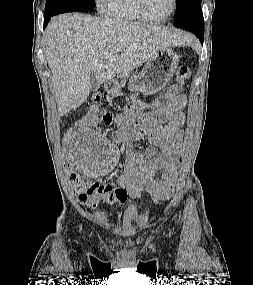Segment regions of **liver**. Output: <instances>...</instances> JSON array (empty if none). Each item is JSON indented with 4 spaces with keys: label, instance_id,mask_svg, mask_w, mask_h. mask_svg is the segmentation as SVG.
<instances>
[{
    "label": "liver",
    "instance_id": "6515ba94",
    "mask_svg": "<svg viewBox=\"0 0 253 285\" xmlns=\"http://www.w3.org/2000/svg\"><path fill=\"white\" fill-rule=\"evenodd\" d=\"M190 42L189 35L159 25L80 13L54 17L46 30V59L59 115L87 100L92 72L103 83L139 67L161 49Z\"/></svg>",
    "mask_w": 253,
    "mask_h": 285
}]
</instances>
